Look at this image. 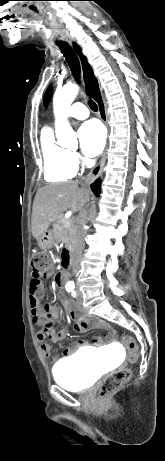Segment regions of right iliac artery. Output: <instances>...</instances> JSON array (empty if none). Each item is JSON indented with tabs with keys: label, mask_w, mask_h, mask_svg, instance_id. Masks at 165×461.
<instances>
[{
	"label": "right iliac artery",
	"mask_w": 165,
	"mask_h": 461,
	"mask_svg": "<svg viewBox=\"0 0 165 461\" xmlns=\"http://www.w3.org/2000/svg\"><path fill=\"white\" fill-rule=\"evenodd\" d=\"M73 288H74V286H67V287H66V290H67V291H70V290H72Z\"/></svg>",
	"instance_id": "right-iliac-artery-1"
}]
</instances>
